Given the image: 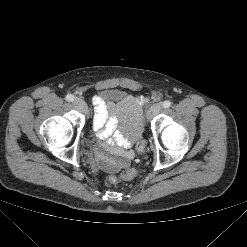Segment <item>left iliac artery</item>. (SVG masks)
<instances>
[{
  "label": "left iliac artery",
  "instance_id": "1",
  "mask_svg": "<svg viewBox=\"0 0 247 247\" xmlns=\"http://www.w3.org/2000/svg\"><path fill=\"white\" fill-rule=\"evenodd\" d=\"M162 106H163V108H169L171 106V102L166 100L163 102Z\"/></svg>",
  "mask_w": 247,
  "mask_h": 247
}]
</instances>
